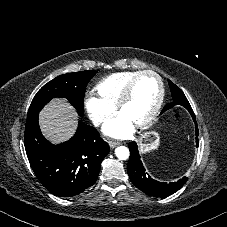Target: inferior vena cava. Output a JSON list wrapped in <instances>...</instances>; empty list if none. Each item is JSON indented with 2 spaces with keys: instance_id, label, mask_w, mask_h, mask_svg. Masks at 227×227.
<instances>
[{
  "instance_id": "obj_1",
  "label": "inferior vena cava",
  "mask_w": 227,
  "mask_h": 227,
  "mask_svg": "<svg viewBox=\"0 0 227 227\" xmlns=\"http://www.w3.org/2000/svg\"><path fill=\"white\" fill-rule=\"evenodd\" d=\"M102 122H103L102 118H96V119L93 120V124L95 126H99Z\"/></svg>"
}]
</instances>
